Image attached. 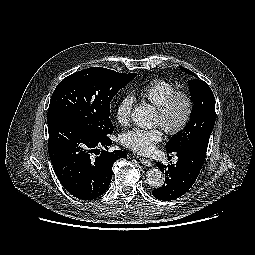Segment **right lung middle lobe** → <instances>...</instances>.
<instances>
[{
	"label": "right lung middle lobe",
	"mask_w": 255,
	"mask_h": 255,
	"mask_svg": "<svg viewBox=\"0 0 255 255\" xmlns=\"http://www.w3.org/2000/svg\"><path fill=\"white\" fill-rule=\"evenodd\" d=\"M136 75L91 67L67 76L52 94L48 125L66 120L96 137L112 134L114 127L109 118L110 102Z\"/></svg>",
	"instance_id": "1"
}]
</instances>
